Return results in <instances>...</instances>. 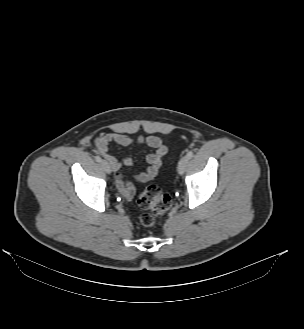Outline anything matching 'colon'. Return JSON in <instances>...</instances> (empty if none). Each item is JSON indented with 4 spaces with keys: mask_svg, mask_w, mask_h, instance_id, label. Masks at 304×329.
Segmentation results:
<instances>
[{
    "mask_svg": "<svg viewBox=\"0 0 304 329\" xmlns=\"http://www.w3.org/2000/svg\"><path fill=\"white\" fill-rule=\"evenodd\" d=\"M139 206L149 212L140 216V222L144 226H152L156 218L163 215L171 206L172 199L167 193H163L157 186L148 187L139 197Z\"/></svg>",
    "mask_w": 304,
    "mask_h": 329,
    "instance_id": "obj_1",
    "label": "colon"
}]
</instances>
